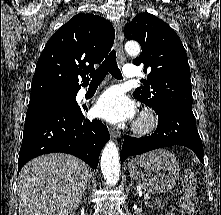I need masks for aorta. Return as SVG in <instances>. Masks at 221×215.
<instances>
[{
	"instance_id": "1",
	"label": "aorta",
	"mask_w": 221,
	"mask_h": 215,
	"mask_svg": "<svg viewBox=\"0 0 221 215\" xmlns=\"http://www.w3.org/2000/svg\"><path fill=\"white\" fill-rule=\"evenodd\" d=\"M126 52L131 56H136L140 53V46L136 42H128L125 45ZM101 172L108 185H116L120 175V163L118 148L113 141H109L101 156Z\"/></svg>"
}]
</instances>
